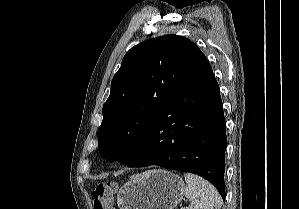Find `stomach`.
Masks as SVG:
<instances>
[{
  "label": "stomach",
  "mask_w": 299,
  "mask_h": 209,
  "mask_svg": "<svg viewBox=\"0 0 299 209\" xmlns=\"http://www.w3.org/2000/svg\"><path fill=\"white\" fill-rule=\"evenodd\" d=\"M185 192L183 179L157 169L132 176L117 195L120 209H174Z\"/></svg>",
  "instance_id": "stomach-1"
}]
</instances>
